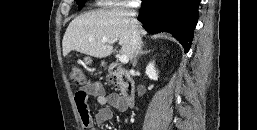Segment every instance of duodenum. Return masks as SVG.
<instances>
[{
	"label": "duodenum",
	"mask_w": 257,
	"mask_h": 130,
	"mask_svg": "<svg viewBox=\"0 0 257 130\" xmlns=\"http://www.w3.org/2000/svg\"><path fill=\"white\" fill-rule=\"evenodd\" d=\"M107 68L119 80L120 93L124 105L126 108L132 106L135 98V83L129 72L115 63H109Z\"/></svg>",
	"instance_id": "obj_1"
}]
</instances>
